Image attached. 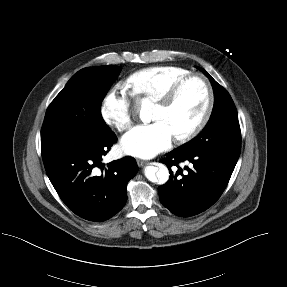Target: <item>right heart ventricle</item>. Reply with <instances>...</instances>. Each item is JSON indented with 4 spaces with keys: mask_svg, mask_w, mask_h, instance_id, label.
<instances>
[{
    "mask_svg": "<svg viewBox=\"0 0 287 287\" xmlns=\"http://www.w3.org/2000/svg\"><path fill=\"white\" fill-rule=\"evenodd\" d=\"M190 71L179 66H156L131 74L127 86L134 96L156 102L170 87Z\"/></svg>",
    "mask_w": 287,
    "mask_h": 287,
    "instance_id": "1",
    "label": "right heart ventricle"
}]
</instances>
